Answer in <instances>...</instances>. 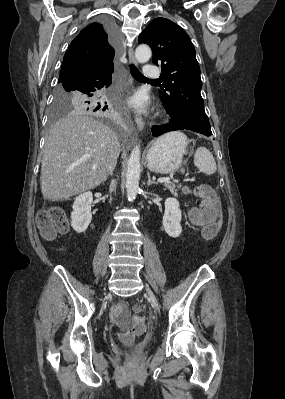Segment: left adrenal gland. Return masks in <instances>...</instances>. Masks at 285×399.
I'll return each instance as SVG.
<instances>
[{
  "mask_svg": "<svg viewBox=\"0 0 285 399\" xmlns=\"http://www.w3.org/2000/svg\"><path fill=\"white\" fill-rule=\"evenodd\" d=\"M147 177H148L147 186H150V185H152V184H156L155 181H152V180H151V176H150V173H149V172H147Z\"/></svg>",
  "mask_w": 285,
  "mask_h": 399,
  "instance_id": "left-adrenal-gland-1",
  "label": "left adrenal gland"
}]
</instances>
